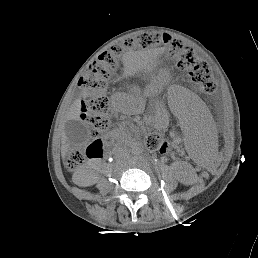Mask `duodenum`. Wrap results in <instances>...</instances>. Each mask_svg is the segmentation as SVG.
I'll list each match as a JSON object with an SVG mask.
<instances>
[{"label": "duodenum", "instance_id": "obj_1", "mask_svg": "<svg viewBox=\"0 0 258 258\" xmlns=\"http://www.w3.org/2000/svg\"><path fill=\"white\" fill-rule=\"evenodd\" d=\"M87 155L89 156V158H93V159H96L102 156V154L100 155V148L97 145L90 147L87 150Z\"/></svg>", "mask_w": 258, "mask_h": 258}]
</instances>
